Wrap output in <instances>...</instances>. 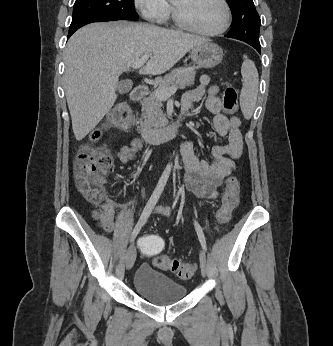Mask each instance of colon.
<instances>
[{
	"instance_id": "1",
	"label": "colon",
	"mask_w": 333,
	"mask_h": 346,
	"mask_svg": "<svg viewBox=\"0 0 333 346\" xmlns=\"http://www.w3.org/2000/svg\"><path fill=\"white\" fill-rule=\"evenodd\" d=\"M223 108L227 114L238 111V93L235 87H225L222 96ZM132 110L127 102H119L105 121V127L119 131L132 128ZM98 135L93 133L91 140L96 141ZM112 156L104 146L84 145L79 150L74 163V176L78 191L90 203H101L104 199L105 175L112 166ZM240 182L236 177L228 178L222 196L221 207L216 212V222L224 225L231 220L232 212L239 203ZM138 241L139 253L142 256H157L153 264L162 270L176 273L182 279L192 277L196 272L194 263L181 262L176 258L164 255L165 246L162 243V233H147L140 235Z\"/></svg>"
}]
</instances>
